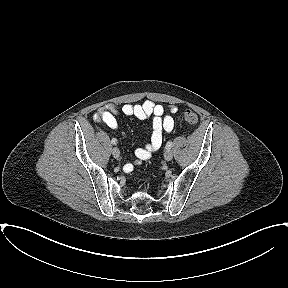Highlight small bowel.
<instances>
[{"label":"small bowel","instance_id":"1","mask_svg":"<svg viewBox=\"0 0 288 288\" xmlns=\"http://www.w3.org/2000/svg\"><path fill=\"white\" fill-rule=\"evenodd\" d=\"M169 113L165 112V108L150 100L142 104H125L118 106L110 103L100 108L94 115V120L103 123L111 129L118 127L116 116L121 112L126 116H133L140 120L152 117V134L150 142L143 147L135 150L136 162L149 159L156 153L163 144L164 133H170L174 129L176 119L172 116L177 112L175 105H169Z\"/></svg>","mask_w":288,"mask_h":288}]
</instances>
